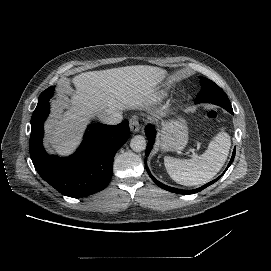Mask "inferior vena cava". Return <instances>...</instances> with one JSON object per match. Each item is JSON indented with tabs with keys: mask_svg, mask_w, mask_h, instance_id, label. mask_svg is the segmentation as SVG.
Returning a JSON list of instances; mask_svg holds the SVG:
<instances>
[{
	"mask_svg": "<svg viewBox=\"0 0 271 271\" xmlns=\"http://www.w3.org/2000/svg\"><path fill=\"white\" fill-rule=\"evenodd\" d=\"M99 120L108 125H116L121 123L123 116L119 110H108L98 115Z\"/></svg>",
	"mask_w": 271,
	"mask_h": 271,
	"instance_id": "obj_1",
	"label": "inferior vena cava"
}]
</instances>
